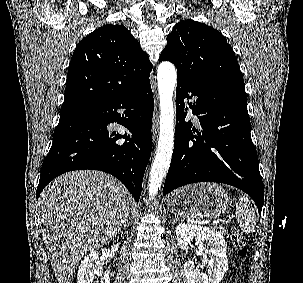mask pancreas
<instances>
[{
  "mask_svg": "<svg viewBox=\"0 0 303 283\" xmlns=\"http://www.w3.org/2000/svg\"><path fill=\"white\" fill-rule=\"evenodd\" d=\"M213 230H215V231L218 230L221 233H225V228L221 227V226L218 227L217 225H215L214 228H213Z\"/></svg>",
  "mask_w": 303,
  "mask_h": 283,
  "instance_id": "pancreas-1",
  "label": "pancreas"
}]
</instances>
